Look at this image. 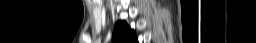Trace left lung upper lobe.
Returning a JSON list of instances; mask_svg holds the SVG:
<instances>
[{
	"label": "left lung upper lobe",
	"mask_w": 256,
	"mask_h": 43,
	"mask_svg": "<svg viewBox=\"0 0 256 43\" xmlns=\"http://www.w3.org/2000/svg\"><path fill=\"white\" fill-rule=\"evenodd\" d=\"M112 43H138L135 32L125 21H118L114 27Z\"/></svg>",
	"instance_id": "obj_1"
}]
</instances>
